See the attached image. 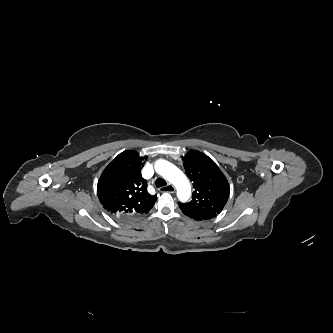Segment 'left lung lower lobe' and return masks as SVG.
Instances as JSON below:
<instances>
[{
	"instance_id": "0a47b994",
	"label": "left lung lower lobe",
	"mask_w": 333,
	"mask_h": 333,
	"mask_svg": "<svg viewBox=\"0 0 333 333\" xmlns=\"http://www.w3.org/2000/svg\"><path fill=\"white\" fill-rule=\"evenodd\" d=\"M179 208L181 209V211L187 215L188 217L194 219V220H208L211 219L213 217H215L216 215L214 214H201V213H196L190 210H187L181 206H179Z\"/></svg>"
}]
</instances>
